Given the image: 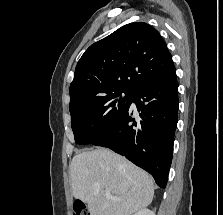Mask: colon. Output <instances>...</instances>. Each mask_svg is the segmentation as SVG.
<instances>
[{
  "mask_svg": "<svg viewBox=\"0 0 223 215\" xmlns=\"http://www.w3.org/2000/svg\"><path fill=\"white\" fill-rule=\"evenodd\" d=\"M73 215H89V212L83 203L75 202L73 205Z\"/></svg>",
  "mask_w": 223,
  "mask_h": 215,
  "instance_id": "5ec220e1",
  "label": "colon"
}]
</instances>
